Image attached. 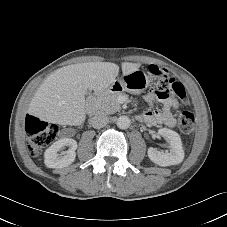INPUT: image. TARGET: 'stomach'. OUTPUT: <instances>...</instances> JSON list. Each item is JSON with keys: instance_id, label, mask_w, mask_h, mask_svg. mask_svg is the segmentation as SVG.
<instances>
[{"instance_id": "stomach-1", "label": "stomach", "mask_w": 227, "mask_h": 227, "mask_svg": "<svg viewBox=\"0 0 227 227\" xmlns=\"http://www.w3.org/2000/svg\"><path fill=\"white\" fill-rule=\"evenodd\" d=\"M150 83V77L142 70L137 69L113 82L107 90L109 93H121L123 91L131 94H140L144 92Z\"/></svg>"}]
</instances>
